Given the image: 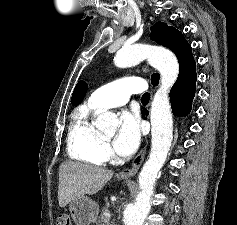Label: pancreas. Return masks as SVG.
I'll return each instance as SVG.
<instances>
[{"label":"pancreas","instance_id":"cf45deb5","mask_svg":"<svg viewBox=\"0 0 237 225\" xmlns=\"http://www.w3.org/2000/svg\"><path fill=\"white\" fill-rule=\"evenodd\" d=\"M104 211L105 210H102L101 211V214L100 216L97 218V220L95 221L96 225H114V222L113 221H110L109 218H106L104 216Z\"/></svg>","mask_w":237,"mask_h":225}]
</instances>
